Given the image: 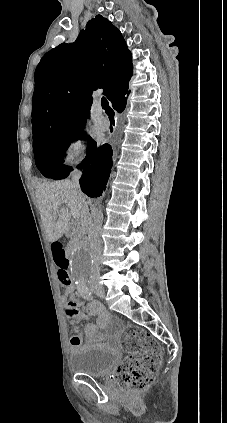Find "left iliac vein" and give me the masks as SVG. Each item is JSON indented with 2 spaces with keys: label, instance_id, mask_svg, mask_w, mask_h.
<instances>
[{
  "label": "left iliac vein",
  "instance_id": "1",
  "mask_svg": "<svg viewBox=\"0 0 227 423\" xmlns=\"http://www.w3.org/2000/svg\"><path fill=\"white\" fill-rule=\"evenodd\" d=\"M92 290H93V292L96 294V291H95V289L94 288H92Z\"/></svg>",
  "mask_w": 227,
  "mask_h": 423
}]
</instances>
